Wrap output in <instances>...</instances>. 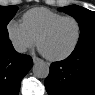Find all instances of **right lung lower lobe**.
Here are the masks:
<instances>
[{
  "mask_svg": "<svg viewBox=\"0 0 95 95\" xmlns=\"http://www.w3.org/2000/svg\"><path fill=\"white\" fill-rule=\"evenodd\" d=\"M32 65L31 57L17 53L10 40H0V95H17Z\"/></svg>",
  "mask_w": 95,
  "mask_h": 95,
  "instance_id": "right-lung-lower-lobe-1",
  "label": "right lung lower lobe"
}]
</instances>
